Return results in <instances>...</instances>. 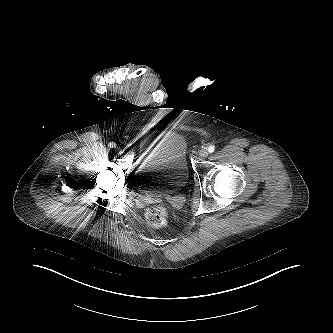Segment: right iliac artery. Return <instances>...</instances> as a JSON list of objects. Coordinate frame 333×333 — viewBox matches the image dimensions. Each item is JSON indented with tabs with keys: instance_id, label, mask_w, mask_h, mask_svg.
Masks as SVG:
<instances>
[{
	"instance_id": "1",
	"label": "right iliac artery",
	"mask_w": 333,
	"mask_h": 333,
	"mask_svg": "<svg viewBox=\"0 0 333 333\" xmlns=\"http://www.w3.org/2000/svg\"><path fill=\"white\" fill-rule=\"evenodd\" d=\"M109 147H110V148H115V147H116V144H115L114 142H110V143H109Z\"/></svg>"
}]
</instances>
